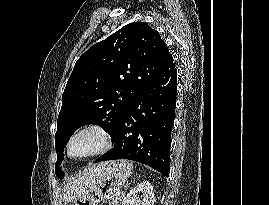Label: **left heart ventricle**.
Here are the masks:
<instances>
[{"label": "left heart ventricle", "mask_w": 269, "mask_h": 205, "mask_svg": "<svg viewBox=\"0 0 269 205\" xmlns=\"http://www.w3.org/2000/svg\"><path fill=\"white\" fill-rule=\"evenodd\" d=\"M101 145V137L96 132L87 131L74 139L71 145V153L74 156H83L97 150Z\"/></svg>", "instance_id": "left-heart-ventricle-1"}]
</instances>
